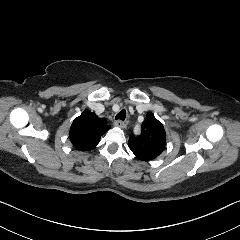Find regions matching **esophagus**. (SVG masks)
<instances>
[{"label": "esophagus", "mask_w": 240, "mask_h": 240, "mask_svg": "<svg viewBox=\"0 0 240 240\" xmlns=\"http://www.w3.org/2000/svg\"><path fill=\"white\" fill-rule=\"evenodd\" d=\"M114 126L119 127V128H125L126 124L123 121H121V120H116L114 122Z\"/></svg>", "instance_id": "esophagus-1"}]
</instances>
